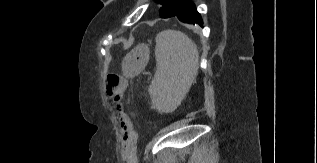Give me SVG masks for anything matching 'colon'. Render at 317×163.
<instances>
[{
  "label": "colon",
  "instance_id": "colon-1",
  "mask_svg": "<svg viewBox=\"0 0 317 163\" xmlns=\"http://www.w3.org/2000/svg\"><path fill=\"white\" fill-rule=\"evenodd\" d=\"M108 96L115 102H119L124 90V83L118 76H109L106 82Z\"/></svg>",
  "mask_w": 317,
  "mask_h": 163
}]
</instances>
